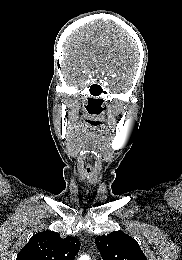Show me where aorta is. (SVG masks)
I'll return each mask as SVG.
<instances>
[{
	"label": "aorta",
	"mask_w": 182,
	"mask_h": 260,
	"mask_svg": "<svg viewBox=\"0 0 182 260\" xmlns=\"http://www.w3.org/2000/svg\"><path fill=\"white\" fill-rule=\"evenodd\" d=\"M78 260H90L88 255H82Z\"/></svg>",
	"instance_id": "obj_1"
}]
</instances>
